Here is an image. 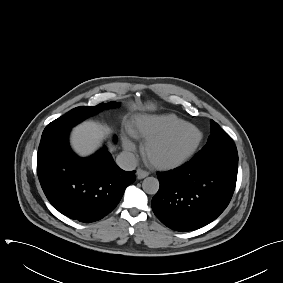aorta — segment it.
Segmentation results:
<instances>
[{"mask_svg": "<svg viewBox=\"0 0 283 283\" xmlns=\"http://www.w3.org/2000/svg\"><path fill=\"white\" fill-rule=\"evenodd\" d=\"M142 188L147 194H156L159 190V180L155 177H147L143 180Z\"/></svg>", "mask_w": 283, "mask_h": 283, "instance_id": "762f6f07", "label": "aorta"}]
</instances>
